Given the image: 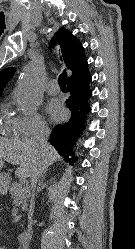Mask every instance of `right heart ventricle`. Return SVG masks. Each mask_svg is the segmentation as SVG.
<instances>
[{"label": "right heart ventricle", "mask_w": 135, "mask_h": 249, "mask_svg": "<svg viewBox=\"0 0 135 249\" xmlns=\"http://www.w3.org/2000/svg\"><path fill=\"white\" fill-rule=\"evenodd\" d=\"M0 130L5 136H16L17 130L14 119L8 113V106L4 105L2 108V117L0 119Z\"/></svg>", "instance_id": "obj_1"}]
</instances>
